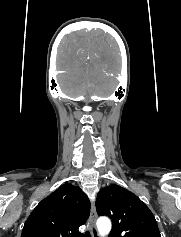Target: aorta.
I'll list each match as a JSON object with an SVG mask.
<instances>
[{
    "mask_svg": "<svg viewBox=\"0 0 181 237\" xmlns=\"http://www.w3.org/2000/svg\"><path fill=\"white\" fill-rule=\"evenodd\" d=\"M98 231L101 236H106L111 230V222L107 217H100L97 220Z\"/></svg>",
    "mask_w": 181,
    "mask_h": 237,
    "instance_id": "1",
    "label": "aorta"
}]
</instances>
